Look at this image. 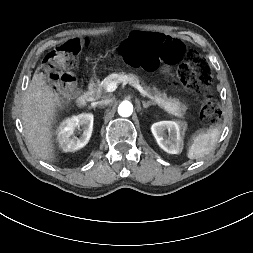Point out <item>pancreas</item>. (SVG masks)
Segmentation results:
<instances>
[{
	"label": "pancreas",
	"instance_id": "1",
	"mask_svg": "<svg viewBox=\"0 0 253 253\" xmlns=\"http://www.w3.org/2000/svg\"><path fill=\"white\" fill-rule=\"evenodd\" d=\"M128 81L140 85L139 78L134 74H126L124 72L112 73L101 82L99 90L107 92L108 84L112 82L119 84ZM143 89L145 91V94L143 96L150 98L154 104L159 105L165 111L175 112L178 115H184L186 113L187 107L185 105L181 104L175 99L168 98L166 94L161 93L156 88L151 89L149 86H143Z\"/></svg>",
	"mask_w": 253,
	"mask_h": 253
}]
</instances>
